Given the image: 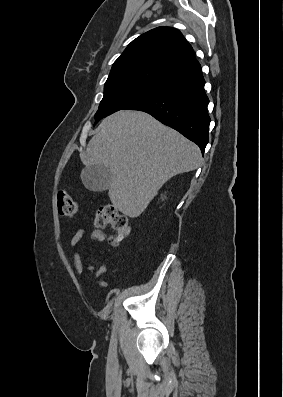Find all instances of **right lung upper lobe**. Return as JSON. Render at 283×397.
<instances>
[{
    "instance_id": "cb5924a9",
    "label": "right lung upper lobe",
    "mask_w": 283,
    "mask_h": 397,
    "mask_svg": "<svg viewBox=\"0 0 283 397\" xmlns=\"http://www.w3.org/2000/svg\"><path fill=\"white\" fill-rule=\"evenodd\" d=\"M201 70L193 49L174 28L158 27L133 40L114 62L110 75L145 73L167 82Z\"/></svg>"
}]
</instances>
